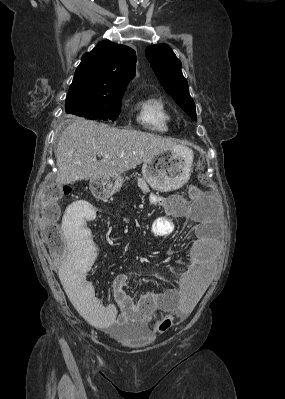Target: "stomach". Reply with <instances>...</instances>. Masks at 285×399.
<instances>
[{"mask_svg":"<svg viewBox=\"0 0 285 399\" xmlns=\"http://www.w3.org/2000/svg\"><path fill=\"white\" fill-rule=\"evenodd\" d=\"M192 161L193 152L187 147L164 150L143 163V177L155 190L172 191L188 181ZM123 181L120 175H110L90 180L89 186L96 198L105 200L121 189Z\"/></svg>","mask_w":285,"mask_h":399,"instance_id":"1","label":"stomach"}]
</instances>
